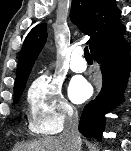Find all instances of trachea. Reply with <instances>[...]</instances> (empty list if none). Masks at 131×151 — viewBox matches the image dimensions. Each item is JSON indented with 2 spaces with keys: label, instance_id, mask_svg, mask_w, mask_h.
<instances>
[{
  "label": "trachea",
  "instance_id": "trachea-1",
  "mask_svg": "<svg viewBox=\"0 0 131 151\" xmlns=\"http://www.w3.org/2000/svg\"><path fill=\"white\" fill-rule=\"evenodd\" d=\"M84 55H85L86 60H92V57L90 55V52L87 46L84 48Z\"/></svg>",
  "mask_w": 131,
  "mask_h": 151
}]
</instances>
